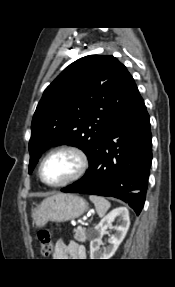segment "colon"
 <instances>
[{"label":"colon","instance_id":"1","mask_svg":"<svg viewBox=\"0 0 175 287\" xmlns=\"http://www.w3.org/2000/svg\"><path fill=\"white\" fill-rule=\"evenodd\" d=\"M37 235L43 256L50 257L53 254V243L50 232L47 229H40Z\"/></svg>","mask_w":175,"mask_h":287}]
</instances>
